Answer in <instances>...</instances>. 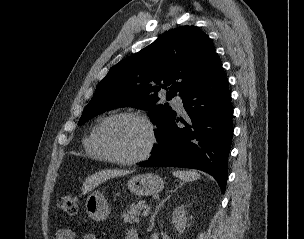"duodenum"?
Segmentation results:
<instances>
[{
	"label": "duodenum",
	"instance_id": "410a0bca",
	"mask_svg": "<svg viewBox=\"0 0 304 239\" xmlns=\"http://www.w3.org/2000/svg\"><path fill=\"white\" fill-rule=\"evenodd\" d=\"M135 239H139V237L137 236V237H135Z\"/></svg>",
	"mask_w": 304,
	"mask_h": 239
}]
</instances>
